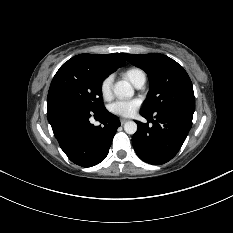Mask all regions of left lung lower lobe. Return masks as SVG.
Returning <instances> with one entry per match:
<instances>
[{
    "label": "left lung lower lobe",
    "instance_id": "left-lung-lower-lobe-1",
    "mask_svg": "<svg viewBox=\"0 0 233 233\" xmlns=\"http://www.w3.org/2000/svg\"><path fill=\"white\" fill-rule=\"evenodd\" d=\"M141 115L147 118L148 122L152 121L153 126L137 122L138 130L132 138L136 154L141 160L152 165L168 162L184 143L192 126L193 115L171 110L154 114L141 110Z\"/></svg>",
    "mask_w": 233,
    "mask_h": 233
}]
</instances>
